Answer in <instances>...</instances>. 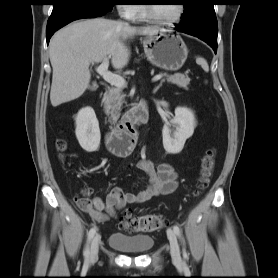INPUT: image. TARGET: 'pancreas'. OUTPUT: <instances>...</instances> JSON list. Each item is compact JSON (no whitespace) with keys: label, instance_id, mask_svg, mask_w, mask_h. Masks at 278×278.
Instances as JSON below:
<instances>
[{"label":"pancreas","instance_id":"cf45deb5","mask_svg":"<svg viewBox=\"0 0 278 278\" xmlns=\"http://www.w3.org/2000/svg\"><path fill=\"white\" fill-rule=\"evenodd\" d=\"M166 80L177 86L187 89L190 78L187 75L177 73L174 75H168ZM124 95L121 88H111L106 92L104 97V108L108 115H111L113 120H117L120 116V110L123 105Z\"/></svg>","mask_w":278,"mask_h":278}]
</instances>
